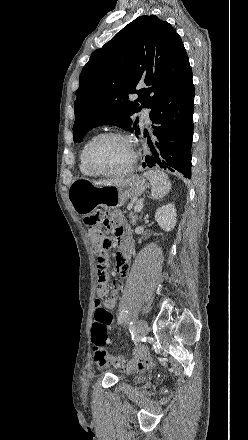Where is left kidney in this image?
Here are the masks:
<instances>
[{"label": "left kidney", "mask_w": 248, "mask_h": 440, "mask_svg": "<svg viewBox=\"0 0 248 440\" xmlns=\"http://www.w3.org/2000/svg\"><path fill=\"white\" fill-rule=\"evenodd\" d=\"M176 209L174 204L169 203L160 207L155 213V220L164 231H171L176 225Z\"/></svg>", "instance_id": "left-kidney-1"}]
</instances>
